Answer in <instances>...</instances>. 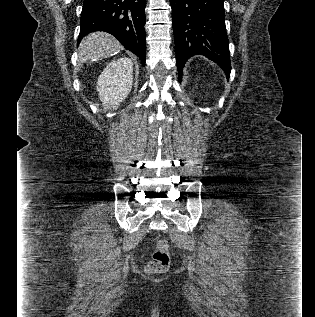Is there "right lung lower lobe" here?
<instances>
[{
    "mask_svg": "<svg viewBox=\"0 0 315 317\" xmlns=\"http://www.w3.org/2000/svg\"><path fill=\"white\" fill-rule=\"evenodd\" d=\"M146 0H84L78 42L94 31L115 36L145 65Z\"/></svg>",
    "mask_w": 315,
    "mask_h": 317,
    "instance_id": "obj_1",
    "label": "right lung lower lobe"
}]
</instances>
